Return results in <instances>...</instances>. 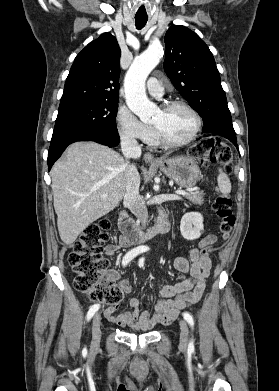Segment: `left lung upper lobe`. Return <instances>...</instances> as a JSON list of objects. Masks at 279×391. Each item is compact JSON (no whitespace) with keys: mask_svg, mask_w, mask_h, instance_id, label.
Segmentation results:
<instances>
[{"mask_svg":"<svg viewBox=\"0 0 279 391\" xmlns=\"http://www.w3.org/2000/svg\"><path fill=\"white\" fill-rule=\"evenodd\" d=\"M164 70L174 87L203 119L204 133L236 135L214 57L205 42L184 26L164 37Z\"/></svg>","mask_w":279,"mask_h":391,"instance_id":"5c2ea615","label":"left lung upper lobe"}]
</instances>
